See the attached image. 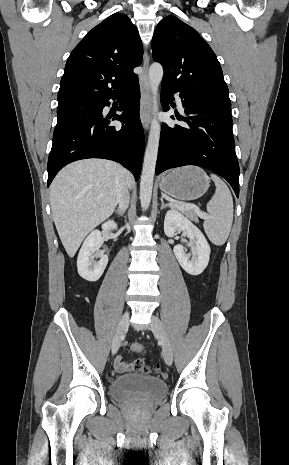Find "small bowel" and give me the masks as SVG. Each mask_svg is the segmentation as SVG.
<instances>
[{
  "mask_svg": "<svg viewBox=\"0 0 289 465\" xmlns=\"http://www.w3.org/2000/svg\"><path fill=\"white\" fill-rule=\"evenodd\" d=\"M134 368L133 363H126L122 360L120 356H118L115 360V370L117 373H124L130 371Z\"/></svg>",
  "mask_w": 289,
  "mask_h": 465,
  "instance_id": "1",
  "label": "small bowel"
}]
</instances>
